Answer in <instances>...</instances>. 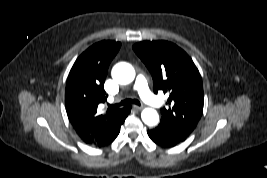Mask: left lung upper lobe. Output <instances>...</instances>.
I'll list each match as a JSON object with an SVG mask.
<instances>
[{"instance_id":"5c2ea615","label":"left lung upper lobe","mask_w":267,"mask_h":178,"mask_svg":"<svg viewBox=\"0 0 267 178\" xmlns=\"http://www.w3.org/2000/svg\"><path fill=\"white\" fill-rule=\"evenodd\" d=\"M153 78V89L169 93L160 124L187 138L196 128L204 104L200 73L185 51L168 41H143L133 46Z\"/></svg>"}]
</instances>
